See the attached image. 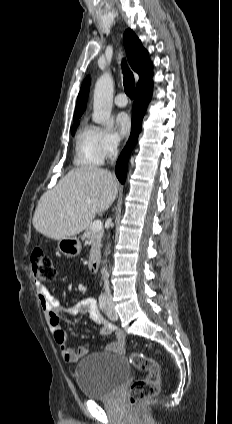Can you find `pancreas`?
Listing matches in <instances>:
<instances>
[{"instance_id":"pancreas-1","label":"pancreas","mask_w":232,"mask_h":424,"mask_svg":"<svg viewBox=\"0 0 232 424\" xmlns=\"http://www.w3.org/2000/svg\"><path fill=\"white\" fill-rule=\"evenodd\" d=\"M91 224L86 228L85 233L82 236V239H89L91 241V250L89 260L92 261L96 254L99 252L101 246V238L103 236V229L94 231L91 227Z\"/></svg>"}]
</instances>
